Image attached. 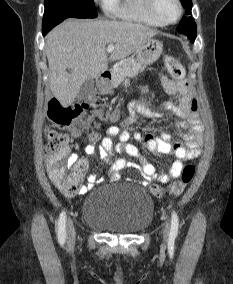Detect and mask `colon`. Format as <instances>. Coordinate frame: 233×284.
Instances as JSON below:
<instances>
[{
	"mask_svg": "<svg viewBox=\"0 0 233 284\" xmlns=\"http://www.w3.org/2000/svg\"><path fill=\"white\" fill-rule=\"evenodd\" d=\"M164 62L168 73L174 79L181 80L184 78V67L177 58L167 55ZM104 104L105 101L100 96H92L73 106H64L57 99H52L48 104V118L58 130H52L47 135L46 161L52 169L56 187L65 195H73L79 192L84 173L80 168H66L61 164V158L68 144V137L63 131L74 125L87 109L100 108ZM89 138L93 142L97 141L99 138L97 131L92 130ZM194 173L195 167L193 164L185 165L180 179L171 184L170 193L174 196L181 195L186 185L192 180ZM150 192L157 198L163 195V190L158 185L150 186Z\"/></svg>",
	"mask_w": 233,
	"mask_h": 284,
	"instance_id": "5ec220e1",
	"label": "colon"
}]
</instances>
